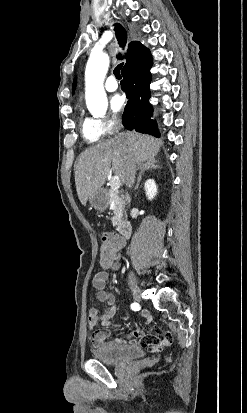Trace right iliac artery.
I'll list each match as a JSON object with an SVG mask.
<instances>
[{
    "label": "right iliac artery",
    "instance_id": "1",
    "mask_svg": "<svg viewBox=\"0 0 247 413\" xmlns=\"http://www.w3.org/2000/svg\"><path fill=\"white\" fill-rule=\"evenodd\" d=\"M131 309L134 310V311H137V310L140 309V305L138 303L134 302V303L131 304Z\"/></svg>",
    "mask_w": 247,
    "mask_h": 413
}]
</instances>
